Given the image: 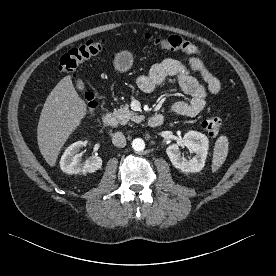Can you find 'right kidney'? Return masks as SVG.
I'll use <instances>...</instances> for the list:
<instances>
[{"instance_id":"ca27d5eb","label":"right kidney","mask_w":276,"mask_h":276,"mask_svg":"<svg viewBox=\"0 0 276 276\" xmlns=\"http://www.w3.org/2000/svg\"><path fill=\"white\" fill-rule=\"evenodd\" d=\"M84 145L85 143L83 141H77L65 150L60 160V168L63 172L86 175L101 168L102 159L98 156H92L82 161V154L77 153Z\"/></svg>"}]
</instances>
